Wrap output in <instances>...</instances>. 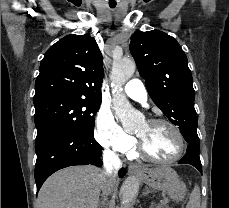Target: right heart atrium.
I'll list each match as a JSON object with an SVG mask.
<instances>
[{"mask_svg":"<svg viewBox=\"0 0 229 208\" xmlns=\"http://www.w3.org/2000/svg\"><path fill=\"white\" fill-rule=\"evenodd\" d=\"M94 138L100 146L122 154L133 153L137 140L127 134L113 119L112 114L101 109L95 118Z\"/></svg>","mask_w":229,"mask_h":208,"instance_id":"d8ad5b80","label":"right heart atrium"}]
</instances>
